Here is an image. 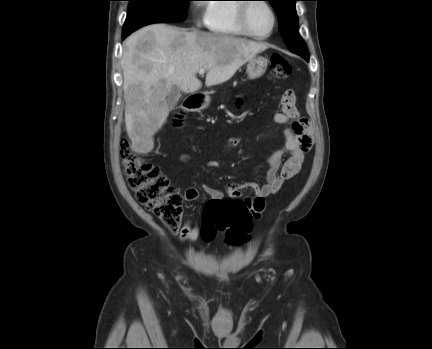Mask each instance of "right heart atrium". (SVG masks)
Returning a JSON list of instances; mask_svg holds the SVG:
<instances>
[{"label":"right heart atrium","mask_w":432,"mask_h":349,"mask_svg":"<svg viewBox=\"0 0 432 349\" xmlns=\"http://www.w3.org/2000/svg\"><path fill=\"white\" fill-rule=\"evenodd\" d=\"M195 7L198 11H202L205 8L203 4H197Z\"/></svg>","instance_id":"right-heart-atrium-1"}]
</instances>
